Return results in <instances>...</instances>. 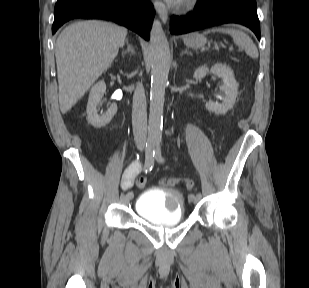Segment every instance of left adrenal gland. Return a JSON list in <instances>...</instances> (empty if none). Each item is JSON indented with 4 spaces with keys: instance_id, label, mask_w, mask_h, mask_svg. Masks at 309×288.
I'll use <instances>...</instances> for the list:
<instances>
[{
    "instance_id": "a2214340",
    "label": "left adrenal gland",
    "mask_w": 309,
    "mask_h": 288,
    "mask_svg": "<svg viewBox=\"0 0 309 288\" xmlns=\"http://www.w3.org/2000/svg\"><path fill=\"white\" fill-rule=\"evenodd\" d=\"M184 54L192 55V53L189 52L187 49L181 53V55H184Z\"/></svg>"
}]
</instances>
